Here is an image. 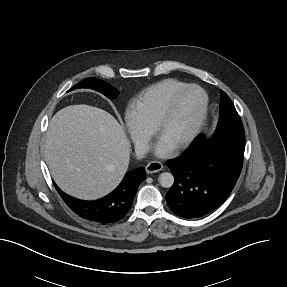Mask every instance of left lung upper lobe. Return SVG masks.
<instances>
[{"label": "left lung upper lobe", "mask_w": 287, "mask_h": 287, "mask_svg": "<svg viewBox=\"0 0 287 287\" xmlns=\"http://www.w3.org/2000/svg\"><path fill=\"white\" fill-rule=\"evenodd\" d=\"M234 136L245 138V132L238 115L228 95L221 90L220 118L213 138Z\"/></svg>", "instance_id": "1"}]
</instances>
